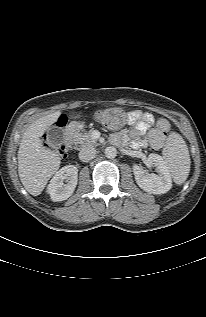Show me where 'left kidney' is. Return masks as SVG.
I'll return each instance as SVG.
<instances>
[{
	"label": "left kidney",
	"instance_id": "1",
	"mask_svg": "<svg viewBox=\"0 0 206 317\" xmlns=\"http://www.w3.org/2000/svg\"><path fill=\"white\" fill-rule=\"evenodd\" d=\"M148 164L156 167L158 174H147L138 165L133 166L136 183L146 192L152 194H164L172 187L171 174L163 158L158 154L148 156Z\"/></svg>",
	"mask_w": 206,
	"mask_h": 317
}]
</instances>
